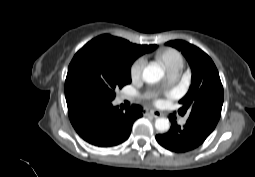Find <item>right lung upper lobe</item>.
<instances>
[{
    "label": "right lung upper lobe",
    "mask_w": 255,
    "mask_h": 177,
    "mask_svg": "<svg viewBox=\"0 0 255 177\" xmlns=\"http://www.w3.org/2000/svg\"><path fill=\"white\" fill-rule=\"evenodd\" d=\"M89 43L95 44L108 52L120 54L123 57L130 59L132 62L139 56L150 52L157 47V45L132 44L125 39L114 37L108 34L98 36L91 40ZM65 96L66 100H72L78 95L73 94Z\"/></svg>",
    "instance_id": "right-lung-upper-lobe-1"
}]
</instances>
